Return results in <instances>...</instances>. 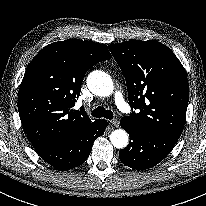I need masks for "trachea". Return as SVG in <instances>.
<instances>
[{"label": "trachea", "mask_w": 206, "mask_h": 206, "mask_svg": "<svg viewBox=\"0 0 206 206\" xmlns=\"http://www.w3.org/2000/svg\"><path fill=\"white\" fill-rule=\"evenodd\" d=\"M91 115L93 117L96 118H106V119H112L113 118V112L111 110L105 109L102 106L97 107L96 109H94L91 113Z\"/></svg>", "instance_id": "1"}]
</instances>
